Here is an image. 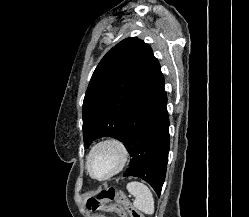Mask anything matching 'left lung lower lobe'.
I'll use <instances>...</instances> for the list:
<instances>
[{
  "mask_svg": "<svg viewBox=\"0 0 249 217\" xmlns=\"http://www.w3.org/2000/svg\"><path fill=\"white\" fill-rule=\"evenodd\" d=\"M166 105L167 95L161 75L129 112L120 139L132 157L123 176L145 180L158 196L165 180L170 146Z\"/></svg>",
  "mask_w": 249,
  "mask_h": 217,
  "instance_id": "1",
  "label": "left lung lower lobe"
}]
</instances>
